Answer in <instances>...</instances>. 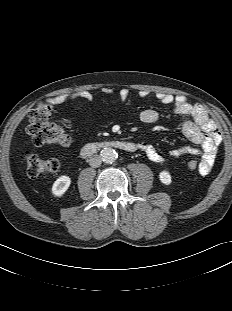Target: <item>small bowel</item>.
<instances>
[{
    "mask_svg": "<svg viewBox=\"0 0 232 311\" xmlns=\"http://www.w3.org/2000/svg\"><path fill=\"white\" fill-rule=\"evenodd\" d=\"M103 94L110 95L113 93L111 88L105 87L102 89ZM130 92L123 88L118 92V99L121 103H125L129 98ZM151 95V92L146 89L138 91V96L146 99ZM155 97L160 102L171 105L172 112L179 116H188L190 119L183 121V134L195 145H182L169 152L172 158H180L192 155H201L200 173L207 174L214 163L217 153V147L221 142V133L216 124L208 117L205 109L199 105H193L187 101L184 96L173 95L166 92L158 91ZM93 94L88 90H80L53 96L48 99L49 103L59 104L74 100L91 101ZM139 118L143 123H154L159 118V113L154 109H144L140 112ZM140 149L146 154L148 159L155 164H162L165 158L159 154L156 149L147 142L139 144Z\"/></svg>",
    "mask_w": 232,
    "mask_h": 311,
    "instance_id": "1",
    "label": "small bowel"
}]
</instances>
